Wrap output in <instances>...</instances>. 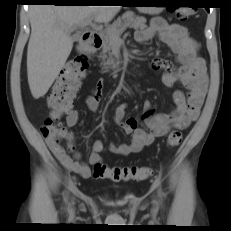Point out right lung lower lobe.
<instances>
[{
	"instance_id": "obj_1",
	"label": "right lung lower lobe",
	"mask_w": 231,
	"mask_h": 231,
	"mask_svg": "<svg viewBox=\"0 0 231 231\" xmlns=\"http://www.w3.org/2000/svg\"><path fill=\"white\" fill-rule=\"evenodd\" d=\"M26 1L32 4L53 3L55 5H80L79 2H76L77 0H26Z\"/></svg>"
}]
</instances>
